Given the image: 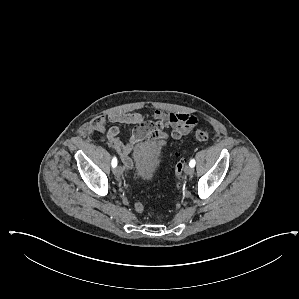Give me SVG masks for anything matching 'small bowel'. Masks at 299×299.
I'll return each instance as SVG.
<instances>
[{
	"label": "small bowel",
	"instance_id": "obj_1",
	"mask_svg": "<svg viewBox=\"0 0 299 299\" xmlns=\"http://www.w3.org/2000/svg\"><path fill=\"white\" fill-rule=\"evenodd\" d=\"M154 118L155 122L144 124V118L138 112L111 113L107 116L111 123L136 126L127 141L119 138L118 126H112L107 134L109 145L119 154L126 168L133 169L130 153L135 145L152 142L154 151L159 152L170 138L179 140L192 132L198 124V116L191 113H167L156 110Z\"/></svg>",
	"mask_w": 299,
	"mask_h": 299
}]
</instances>
